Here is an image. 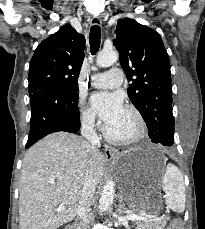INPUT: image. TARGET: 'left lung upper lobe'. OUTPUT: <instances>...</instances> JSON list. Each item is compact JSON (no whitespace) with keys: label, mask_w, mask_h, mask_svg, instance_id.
I'll return each mask as SVG.
<instances>
[{"label":"left lung upper lobe","mask_w":205,"mask_h":229,"mask_svg":"<svg viewBox=\"0 0 205 229\" xmlns=\"http://www.w3.org/2000/svg\"><path fill=\"white\" fill-rule=\"evenodd\" d=\"M113 43L128 81V96L141 113L152 142L172 146L174 118L170 62L160 35L130 18L118 21ZM156 129L160 132L155 133Z\"/></svg>","instance_id":"5c2ea615"}]
</instances>
